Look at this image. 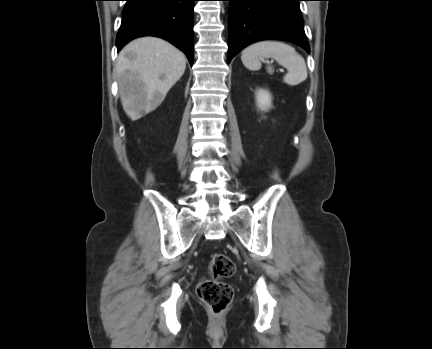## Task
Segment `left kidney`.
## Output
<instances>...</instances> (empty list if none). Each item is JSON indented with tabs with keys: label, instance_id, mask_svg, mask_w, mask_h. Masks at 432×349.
Wrapping results in <instances>:
<instances>
[{
	"label": "left kidney",
	"instance_id": "1",
	"mask_svg": "<svg viewBox=\"0 0 432 349\" xmlns=\"http://www.w3.org/2000/svg\"><path fill=\"white\" fill-rule=\"evenodd\" d=\"M256 101L260 110H268L271 107V95L269 91L259 89L256 94Z\"/></svg>",
	"mask_w": 432,
	"mask_h": 349
}]
</instances>
